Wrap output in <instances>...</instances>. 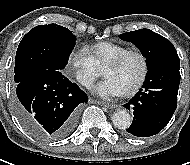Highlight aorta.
Returning a JSON list of instances; mask_svg holds the SVG:
<instances>
[{"label": "aorta", "mask_w": 190, "mask_h": 165, "mask_svg": "<svg viewBox=\"0 0 190 165\" xmlns=\"http://www.w3.org/2000/svg\"><path fill=\"white\" fill-rule=\"evenodd\" d=\"M114 126L118 129L129 128L132 122L131 115L126 110H119L112 117Z\"/></svg>", "instance_id": "obj_1"}]
</instances>
